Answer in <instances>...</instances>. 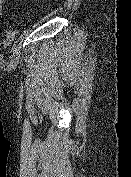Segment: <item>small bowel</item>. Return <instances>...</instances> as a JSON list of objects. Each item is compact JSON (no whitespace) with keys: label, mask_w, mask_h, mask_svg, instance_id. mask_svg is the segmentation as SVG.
<instances>
[{"label":"small bowel","mask_w":131,"mask_h":177,"mask_svg":"<svg viewBox=\"0 0 131 177\" xmlns=\"http://www.w3.org/2000/svg\"><path fill=\"white\" fill-rule=\"evenodd\" d=\"M5 1L6 0H0V17L3 15Z\"/></svg>","instance_id":"c3829d8e"}]
</instances>
